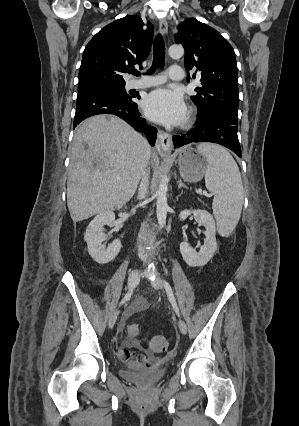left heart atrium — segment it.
Segmentation results:
<instances>
[{"label": "left heart atrium", "instance_id": "obj_1", "mask_svg": "<svg viewBox=\"0 0 299 426\" xmlns=\"http://www.w3.org/2000/svg\"><path fill=\"white\" fill-rule=\"evenodd\" d=\"M143 108L150 120L164 125H179L187 116L182 95L167 88L150 92L143 101Z\"/></svg>", "mask_w": 299, "mask_h": 426}]
</instances>
